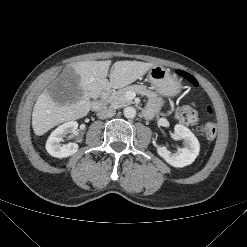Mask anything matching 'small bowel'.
Wrapping results in <instances>:
<instances>
[{
  "instance_id": "small-bowel-1",
  "label": "small bowel",
  "mask_w": 247,
  "mask_h": 247,
  "mask_svg": "<svg viewBox=\"0 0 247 247\" xmlns=\"http://www.w3.org/2000/svg\"><path fill=\"white\" fill-rule=\"evenodd\" d=\"M155 105H156V102L155 101H152L151 108L155 107Z\"/></svg>"
}]
</instances>
